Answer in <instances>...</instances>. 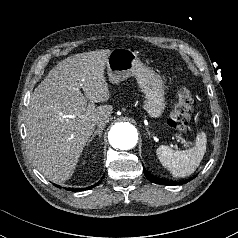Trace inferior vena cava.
<instances>
[{
	"label": "inferior vena cava",
	"mask_w": 238,
	"mask_h": 238,
	"mask_svg": "<svg viewBox=\"0 0 238 238\" xmlns=\"http://www.w3.org/2000/svg\"><path fill=\"white\" fill-rule=\"evenodd\" d=\"M108 121H109L108 119H102L97 122V125L99 128L104 127Z\"/></svg>",
	"instance_id": "602c4592"
}]
</instances>
